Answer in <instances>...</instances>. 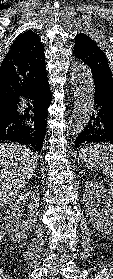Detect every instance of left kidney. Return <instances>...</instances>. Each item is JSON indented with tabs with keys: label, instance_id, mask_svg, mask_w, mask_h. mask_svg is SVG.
Listing matches in <instances>:
<instances>
[{
	"label": "left kidney",
	"instance_id": "left-kidney-1",
	"mask_svg": "<svg viewBox=\"0 0 113 279\" xmlns=\"http://www.w3.org/2000/svg\"><path fill=\"white\" fill-rule=\"evenodd\" d=\"M103 200L101 209L96 208V201ZM85 211L90 221L99 232L113 236V192L94 180L85 184L83 193Z\"/></svg>",
	"mask_w": 113,
	"mask_h": 279
}]
</instances>
